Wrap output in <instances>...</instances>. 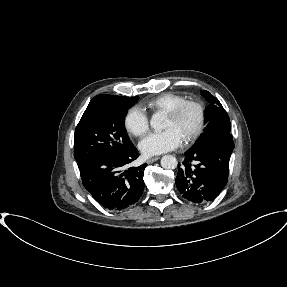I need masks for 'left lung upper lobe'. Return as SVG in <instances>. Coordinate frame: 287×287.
Here are the masks:
<instances>
[{"mask_svg":"<svg viewBox=\"0 0 287 287\" xmlns=\"http://www.w3.org/2000/svg\"><path fill=\"white\" fill-rule=\"evenodd\" d=\"M201 95L209 102V106L205 111L207 126L193 149L205 147L213 141L230 134L231 131L228 114L219 100L206 90H202Z\"/></svg>","mask_w":287,"mask_h":287,"instance_id":"left-lung-upper-lobe-1","label":"left lung upper lobe"}]
</instances>
